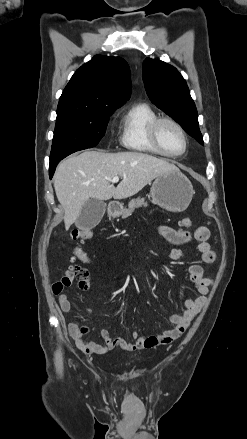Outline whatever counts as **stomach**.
Returning a JSON list of instances; mask_svg holds the SVG:
<instances>
[{
	"mask_svg": "<svg viewBox=\"0 0 247 439\" xmlns=\"http://www.w3.org/2000/svg\"><path fill=\"white\" fill-rule=\"evenodd\" d=\"M194 194L190 180L179 170L168 171L158 176L151 187L153 202L170 212L184 211L190 204ZM118 208L114 215L120 214Z\"/></svg>",
	"mask_w": 247,
	"mask_h": 439,
	"instance_id": "obj_1",
	"label": "stomach"
}]
</instances>
